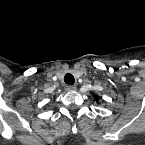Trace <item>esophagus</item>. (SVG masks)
Wrapping results in <instances>:
<instances>
[{
	"label": "esophagus",
	"mask_w": 145,
	"mask_h": 145,
	"mask_svg": "<svg viewBox=\"0 0 145 145\" xmlns=\"http://www.w3.org/2000/svg\"><path fill=\"white\" fill-rule=\"evenodd\" d=\"M65 90L70 92V91H75L76 90V86L75 85H66L65 86Z\"/></svg>",
	"instance_id": "34e87169"
}]
</instances>
